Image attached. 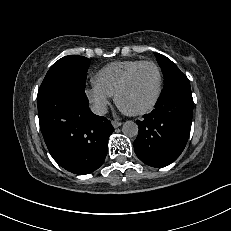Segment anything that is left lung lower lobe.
<instances>
[{"label": "left lung lower lobe", "instance_id": "1", "mask_svg": "<svg viewBox=\"0 0 231 231\" xmlns=\"http://www.w3.org/2000/svg\"><path fill=\"white\" fill-rule=\"evenodd\" d=\"M193 113L190 82L182 74L165 83L155 109L138 120L134 141L138 158L152 167L175 161L186 146Z\"/></svg>", "mask_w": 231, "mask_h": 231}]
</instances>
